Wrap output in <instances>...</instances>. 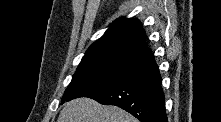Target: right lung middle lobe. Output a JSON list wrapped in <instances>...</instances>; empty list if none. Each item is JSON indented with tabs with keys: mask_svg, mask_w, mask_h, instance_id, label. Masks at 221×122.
I'll list each match as a JSON object with an SVG mask.
<instances>
[{
	"mask_svg": "<svg viewBox=\"0 0 221 122\" xmlns=\"http://www.w3.org/2000/svg\"><path fill=\"white\" fill-rule=\"evenodd\" d=\"M136 63V60L118 57L80 63L61 99L62 103L78 97H87L109 87L124 77Z\"/></svg>",
	"mask_w": 221,
	"mask_h": 122,
	"instance_id": "1",
	"label": "right lung middle lobe"
}]
</instances>
